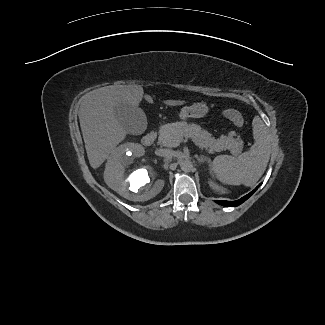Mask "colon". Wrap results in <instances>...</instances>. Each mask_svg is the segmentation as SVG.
<instances>
[{"mask_svg":"<svg viewBox=\"0 0 325 325\" xmlns=\"http://www.w3.org/2000/svg\"><path fill=\"white\" fill-rule=\"evenodd\" d=\"M222 115L237 127L244 125V118L242 114L235 109H225L222 111Z\"/></svg>","mask_w":325,"mask_h":325,"instance_id":"1","label":"colon"}]
</instances>
